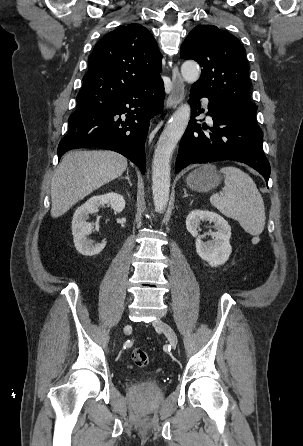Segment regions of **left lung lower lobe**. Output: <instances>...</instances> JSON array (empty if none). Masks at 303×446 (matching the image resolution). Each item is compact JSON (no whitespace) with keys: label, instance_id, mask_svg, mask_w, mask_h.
I'll return each instance as SVG.
<instances>
[{"label":"left lung lower lobe","instance_id":"1","mask_svg":"<svg viewBox=\"0 0 303 446\" xmlns=\"http://www.w3.org/2000/svg\"><path fill=\"white\" fill-rule=\"evenodd\" d=\"M209 99L208 114L213 127L208 131L193 119L200 110L199 98ZM191 120L180 142L176 173L192 163L234 160L257 170L268 182L270 165L263 152V132L257 122L224 99L213 97L195 87L190 94ZM198 110V112H197Z\"/></svg>","mask_w":303,"mask_h":446}]
</instances>
